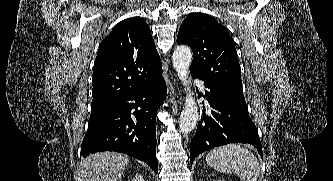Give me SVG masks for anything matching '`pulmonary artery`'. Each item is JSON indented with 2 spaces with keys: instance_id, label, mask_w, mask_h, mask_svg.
<instances>
[{
  "instance_id": "obj_1",
  "label": "pulmonary artery",
  "mask_w": 333,
  "mask_h": 181,
  "mask_svg": "<svg viewBox=\"0 0 333 181\" xmlns=\"http://www.w3.org/2000/svg\"><path fill=\"white\" fill-rule=\"evenodd\" d=\"M196 83L200 86V88H201L203 91H205V86H204L203 82H200V81L197 80Z\"/></svg>"
}]
</instances>
